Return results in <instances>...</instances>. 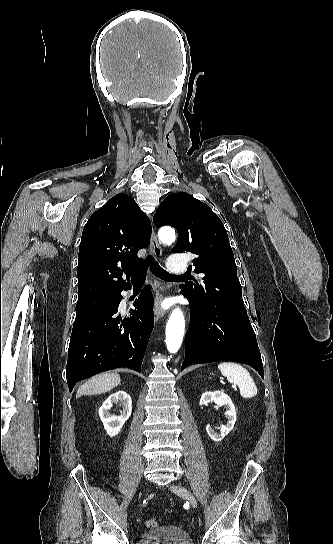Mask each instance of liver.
<instances>
[{
	"label": "liver",
	"mask_w": 333,
	"mask_h": 544,
	"mask_svg": "<svg viewBox=\"0 0 333 544\" xmlns=\"http://www.w3.org/2000/svg\"><path fill=\"white\" fill-rule=\"evenodd\" d=\"M121 382L120 375L114 372L102 373L90 378L77 391V397L81 395H94L110 391Z\"/></svg>",
	"instance_id": "1"
}]
</instances>
